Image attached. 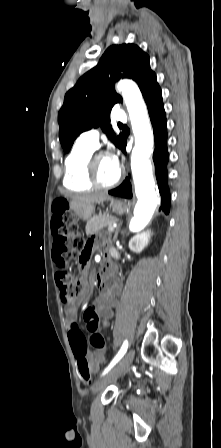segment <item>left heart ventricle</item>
Instances as JSON below:
<instances>
[{
  "mask_svg": "<svg viewBox=\"0 0 221 448\" xmlns=\"http://www.w3.org/2000/svg\"><path fill=\"white\" fill-rule=\"evenodd\" d=\"M97 173L103 183H110L117 177L119 172L114 169L110 156L100 155L97 158Z\"/></svg>",
  "mask_w": 221,
  "mask_h": 448,
  "instance_id": "obj_1",
  "label": "left heart ventricle"
}]
</instances>
